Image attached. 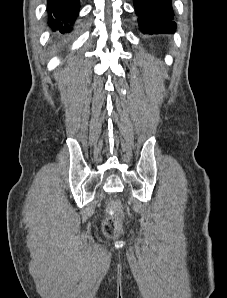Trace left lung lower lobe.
<instances>
[{"instance_id":"obj_1","label":"left lung lower lobe","mask_w":227,"mask_h":298,"mask_svg":"<svg viewBox=\"0 0 227 298\" xmlns=\"http://www.w3.org/2000/svg\"><path fill=\"white\" fill-rule=\"evenodd\" d=\"M133 3L139 16L140 30L144 34L175 32L171 0H133Z\"/></svg>"}]
</instances>
